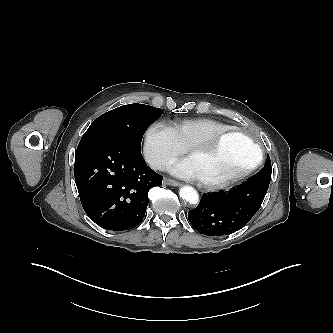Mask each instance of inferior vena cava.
<instances>
[{"instance_id":"1","label":"inferior vena cava","mask_w":333,"mask_h":333,"mask_svg":"<svg viewBox=\"0 0 333 333\" xmlns=\"http://www.w3.org/2000/svg\"><path fill=\"white\" fill-rule=\"evenodd\" d=\"M151 166L154 168V169H158V170H164L166 168V163L162 160H154L152 161L151 163Z\"/></svg>"}]
</instances>
